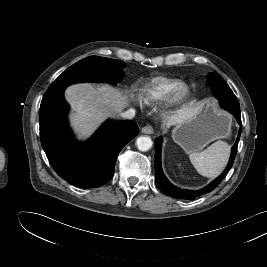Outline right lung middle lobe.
<instances>
[{"label": "right lung middle lobe", "mask_w": 267, "mask_h": 267, "mask_svg": "<svg viewBox=\"0 0 267 267\" xmlns=\"http://www.w3.org/2000/svg\"><path fill=\"white\" fill-rule=\"evenodd\" d=\"M125 64L119 60L90 56L65 70L49 87L43 98L65 89L67 86L84 81L116 84L122 79Z\"/></svg>", "instance_id": "right-lung-middle-lobe-1"}]
</instances>
